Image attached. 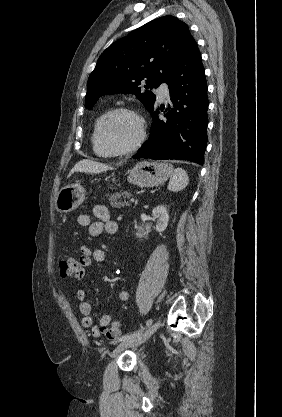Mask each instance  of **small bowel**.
Here are the masks:
<instances>
[{"mask_svg": "<svg viewBox=\"0 0 282 417\" xmlns=\"http://www.w3.org/2000/svg\"><path fill=\"white\" fill-rule=\"evenodd\" d=\"M77 224L88 229L90 236L97 237L102 233L116 235L119 232V225L110 217L109 210L102 204H95L92 209V214L81 213L77 216ZM106 259V252L102 248L91 249L87 245L80 247L79 270L81 272L80 279H83L87 274V269L94 263H103ZM87 292L84 289H79L76 292V297L79 302V310L82 314V325L84 328L90 330L92 335L96 338L105 334L104 324L107 318H113L110 314H103L99 322L96 324L91 314V305L87 300ZM118 299L120 302H128L130 299V291L128 289H120L118 292Z\"/></svg>", "mask_w": 282, "mask_h": 417, "instance_id": "small-bowel-1", "label": "small bowel"}]
</instances>
